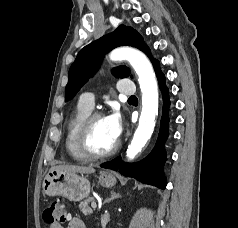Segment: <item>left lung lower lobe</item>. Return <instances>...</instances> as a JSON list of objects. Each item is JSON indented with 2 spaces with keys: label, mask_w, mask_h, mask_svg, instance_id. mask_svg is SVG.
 Wrapping results in <instances>:
<instances>
[{
  "label": "left lung lower lobe",
  "mask_w": 238,
  "mask_h": 228,
  "mask_svg": "<svg viewBox=\"0 0 238 228\" xmlns=\"http://www.w3.org/2000/svg\"><path fill=\"white\" fill-rule=\"evenodd\" d=\"M149 58L154 66L163 95V115L156 145L151 153L140 162L133 164L124 163L119 156L114 160L101 165V167L118 171L122 175L133 177L142 183L165 189L167 183L163 173V166L167 158L164 143L168 137L169 91L165 85V76L160 70L159 61L153 59L151 55Z\"/></svg>",
  "instance_id": "0a47b994"
}]
</instances>
